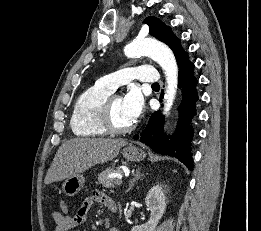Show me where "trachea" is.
Here are the masks:
<instances>
[{
	"mask_svg": "<svg viewBox=\"0 0 261 231\" xmlns=\"http://www.w3.org/2000/svg\"><path fill=\"white\" fill-rule=\"evenodd\" d=\"M152 86H159V84L158 83H153Z\"/></svg>",
	"mask_w": 261,
	"mask_h": 231,
	"instance_id": "1",
	"label": "trachea"
}]
</instances>
